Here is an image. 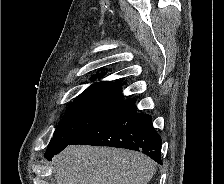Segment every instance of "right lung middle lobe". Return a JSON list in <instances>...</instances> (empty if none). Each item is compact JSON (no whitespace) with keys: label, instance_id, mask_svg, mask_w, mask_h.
<instances>
[{"label":"right lung middle lobe","instance_id":"dd1d6c3e","mask_svg":"<svg viewBox=\"0 0 224 184\" xmlns=\"http://www.w3.org/2000/svg\"><path fill=\"white\" fill-rule=\"evenodd\" d=\"M121 90V86L114 84L88 87L66 110L47 149L69 142L105 117L123 100Z\"/></svg>","mask_w":224,"mask_h":184}]
</instances>
